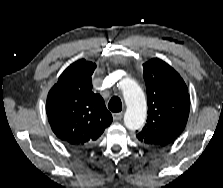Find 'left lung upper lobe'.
I'll return each mask as SVG.
<instances>
[{"label":"left lung upper lobe","instance_id":"1","mask_svg":"<svg viewBox=\"0 0 223 188\" xmlns=\"http://www.w3.org/2000/svg\"><path fill=\"white\" fill-rule=\"evenodd\" d=\"M148 98L147 124L136 134L149 148L171 144L184 130L190 110L188 88L181 76L164 61L143 64Z\"/></svg>","mask_w":223,"mask_h":188}]
</instances>
